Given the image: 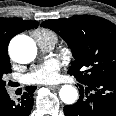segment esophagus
Listing matches in <instances>:
<instances>
[{
    "label": "esophagus",
    "instance_id": "1",
    "mask_svg": "<svg viewBox=\"0 0 116 116\" xmlns=\"http://www.w3.org/2000/svg\"><path fill=\"white\" fill-rule=\"evenodd\" d=\"M49 89H58L60 85H49L47 86Z\"/></svg>",
    "mask_w": 116,
    "mask_h": 116
}]
</instances>
